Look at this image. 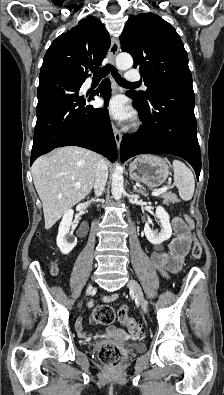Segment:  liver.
Segmentation results:
<instances>
[{
    "mask_svg": "<svg viewBox=\"0 0 224 395\" xmlns=\"http://www.w3.org/2000/svg\"><path fill=\"white\" fill-rule=\"evenodd\" d=\"M99 159L97 153L76 146L61 147L36 159L31 172L43 205L45 229L90 193Z\"/></svg>",
    "mask_w": 224,
    "mask_h": 395,
    "instance_id": "6515ba94",
    "label": "liver"
}]
</instances>
